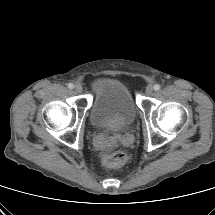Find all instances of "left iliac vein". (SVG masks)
Returning <instances> with one entry per match:
<instances>
[{
    "instance_id": "obj_1",
    "label": "left iliac vein",
    "mask_w": 215,
    "mask_h": 215,
    "mask_svg": "<svg viewBox=\"0 0 215 215\" xmlns=\"http://www.w3.org/2000/svg\"><path fill=\"white\" fill-rule=\"evenodd\" d=\"M152 92H153V87L152 86H147L146 90H145L146 95H151Z\"/></svg>"
}]
</instances>
